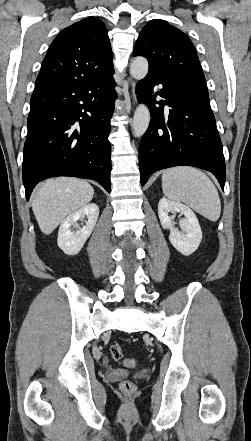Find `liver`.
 Returning a JSON list of instances; mask_svg holds the SVG:
<instances>
[{"label":"liver","instance_id":"liver-1","mask_svg":"<svg viewBox=\"0 0 251 441\" xmlns=\"http://www.w3.org/2000/svg\"><path fill=\"white\" fill-rule=\"evenodd\" d=\"M94 195L86 181L60 177L43 182L34 194L32 210L40 230L51 234L66 216L88 204Z\"/></svg>","mask_w":251,"mask_h":441}]
</instances>
